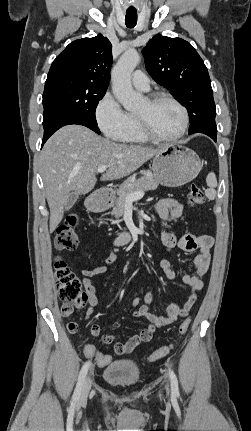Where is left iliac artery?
I'll use <instances>...</instances> for the list:
<instances>
[{
	"instance_id": "44dca946",
	"label": "left iliac artery",
	"mask_w": 251,
	"mask_h": 431,
	"mask_svg": "<svg viewBox=\"0 0 251 431\" xmlns=\"http://www.w3.org/2000/svg\"><path fill=\"white\" fill-rule=\"evenodd\" d=\"M169 377H170V382H171L172 394L174 396H179L178 380H177L175 373L172 370H169Z\"/></svg>"
}]
</instances>
